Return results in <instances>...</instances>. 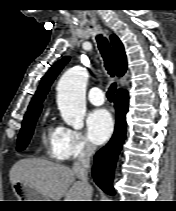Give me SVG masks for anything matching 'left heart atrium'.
Returning <instances> with one entry per match:
<instances>
[{
	"instance_id": "obj_1",
	"label": "left heart atrium",
	"mask_w": 176,
	"mask_h": 211,
	"mask_svg": "<svg viewBox=\"0 0 176 211\" xmlns=\"http://www.w3.org/2000/svg\"><path fill=\"white\" fill-rule=\"evenodd\" d=\"M88 136L95 144H102L111 136L114 123L110 113L105 109L92 111L86 119Z\"/></svg>"
}]
</instances>
